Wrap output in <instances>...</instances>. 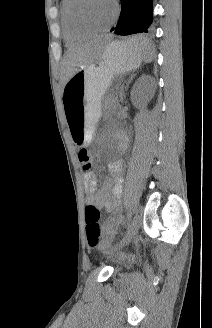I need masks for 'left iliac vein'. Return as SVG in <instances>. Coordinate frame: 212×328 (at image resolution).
Instances as JSON below:
<instances>
[{
  "label": "left iliac vein",
  "mask_w": 212,
  "mask_h": 328,
  "mask_svg": "<svg viewBox=\"0 0 212 328\" xmlns=\"http://www.w3.org/2000/svg\"><path fill=\"white\" fill-rule=\"evenodd\" d=\"M141 224V217L138 214H135L132 218L126 236L123 238V240L115 247V249L121 248L124 245L128 244L137 234Z\"/></svg>",
  "instance_id": "4c4485c4"
}]
</instances>
